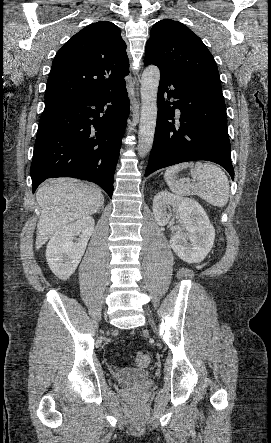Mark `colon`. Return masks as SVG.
I'll use <instances>...</instances> for the list:
<instances>
[{
  "mask_svg": "<svg viewBox=\"0 0 271 443\" xmlns=\"http://www.w3.org/2000/svg\"><path fill=\"white\" fill-rule=\"evenodd\" d=\"M135 360L140 367H146L150 363V357L145 352H137Z\"/></svg>",
  "mask_w": 271,
  "mask_h": 443,
  "instance_id": "colon-1",
  "label": "colon"
}]
</instances>
